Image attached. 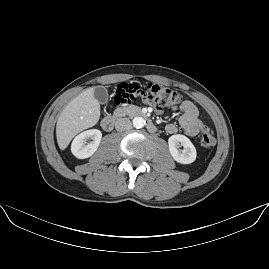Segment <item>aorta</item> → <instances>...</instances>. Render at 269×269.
<instances>
[{
    "mask_svg": "<svg viewBox=\"0 0 269 269\" xmlns=\"http://www.w3.org/2000/svg\"><path fill=\"white\" fill-rule=\"evenodd\" d=\"M146 121L142 117H135L133 119V126L136 128H142L145 125Z\"/></svg>",
    "mask_w": 269,
    "mask_h": 269,
    "instance_id": "1",
    "label": "aorta"
}]
</instances>
